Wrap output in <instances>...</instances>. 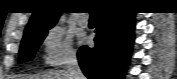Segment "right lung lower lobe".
Instances as JSON below:
<instances>
[{"label":"right lung lower lobe","instance_id":"obj_1","mask_svg":"<svg viewBox=\"0 0 177 79\" xmlns=\"http://www.w3.org/2000/svg\"><path fill=\"white\" fill-rule=\"evenodd\" d=\"M95 47L83 46L78 60L89 79H123L134 41V13L98 12Z\"/></svg>","mask_w":177,"mask_h":79}]
</instances>
